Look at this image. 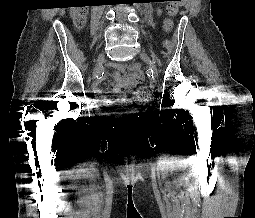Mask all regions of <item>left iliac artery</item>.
I'll return each instance as SVG.
<instances>
[{
	"mask_svg": "<svg viewBox=\"0 0 255 218\" xmlns=\"http://www.w3.org/2000/svg\"><path fill=\"white\" fill-rule=\"evenodd\" d=\"M152 59H153L154 63H155V62H158L157 58H156L155 55H153V54H152Z\"/></svg>",
	"mask_w": 255,
	"mask_h": 218,
	"instance_id": "obj_1",
	"label": "left iliac artery"
}]
</instances>
